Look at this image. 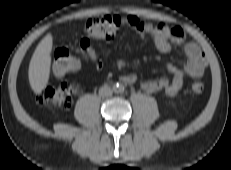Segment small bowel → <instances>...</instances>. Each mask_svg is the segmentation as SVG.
<instances>
[{
    "instance_id": "obj_1",
    "label": "small bowel",
    "mask_w": 231,
    "mask_h": 170,
    "mask_svg": "<svg viewBox=\"0 0 231 170\" xmlns=\"http://www.w3.org/2000/svg\"><path fill=\"white\" fill-rule=\"evenodd\" d=\"M122 27L133 29L141 38L150 37L154 46L163 53L171 51L173 45L179 46L186 56V62L182 67L173 64L167 65V70L171 78L147 79L141 82V88L148 93L164 92L167 95H175L182 88L185 78L200 77L205 68L206 60L200 48L192 42L185 40V34L181 27L174 25L167 26L164 23L157 25L143 23L135 16L125 17ZM82 50L88 58L97 66H101V61L96 56L91 46L90 38L85 36L80 41ZM133 74L125 75L121 78L124 83L133 84L136 82Z\"/></svg>"
}]
</instances>
